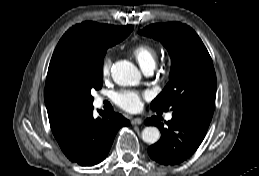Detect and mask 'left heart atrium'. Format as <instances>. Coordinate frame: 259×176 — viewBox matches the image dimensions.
<instances>
[{
  "instance_id": "1",
  "label": "left heart atrium",
  "mask_w": 259,
  "mask_h": 176,
  "mask_svg": "<svg viewBox=\"0 0 259 176\" xmlns=\"http://www.w3.org/2000/svg\"><path fill=\"white\" fill-rule=\"evenodd\" d=\"M115 103L126 111H137L141 107L140 94L135 91L124 90L114 95Z\"/></svg>"
}]
</instances>
